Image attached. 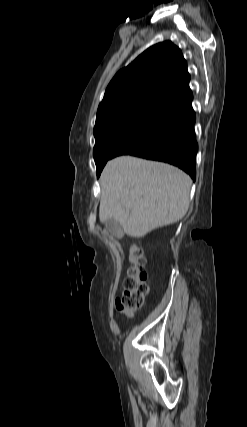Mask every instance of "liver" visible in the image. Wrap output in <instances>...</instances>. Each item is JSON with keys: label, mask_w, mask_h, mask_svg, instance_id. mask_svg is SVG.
Returning a JSON list of instances; mask_svg holds the SVG:
<instances>
[{"label": "liver", "mask_w": 247, "mask_h": 427, "mask_svg": "<svg viewBox=\"0 0 247 427\" xmlns=\"http://www.w3.org/2000/svg\"><path fill=\"white\" fill-rule=\"evenodd\" d=\"M190 177L169 164L121 156L100 177L99 218H114L123 232L141 238L181 220L189 208Z\"/></svg>", "instance_id": "6515ba94"}]
</instances>
